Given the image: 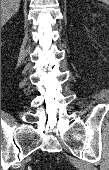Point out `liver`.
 Wrapping results in <instances>:
<instances>
[{
	"label": "liver",
	"mask_w": 109,
	"mask_h": 170,
	"mask_svg": "<svg viewBox=\"0 0 109 170\" xmlns=\"http://www.w3.org/2000/svg\"><path fill=\"white\" fill-rule=\"evenodd\" d=\"M21 0H1V24L13 17L19 10Z\"/></svg>",
	"instance_id": "6515ba94"
}]
</instances>
